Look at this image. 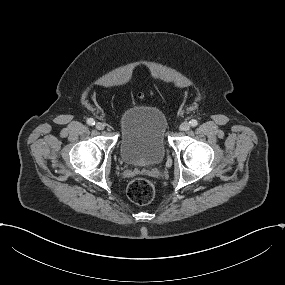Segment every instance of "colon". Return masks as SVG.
<instances>
[{
	"label": "colon",
	"instance_id": "1",
	"mask_svg": "<svg viewBox=\"0 0 285 285\" xmlns=\"http://www.w3.org/2000/svg\"><path fill=\"white\" fill-rule=\"evenodd\" d=\"M127 195L132 202L145 205L153 200L155 188L149 180L138 178L129 183Z\"/></svg>",
	"mask_w": 285,
	"mask_h": 285
}]
</instances>
